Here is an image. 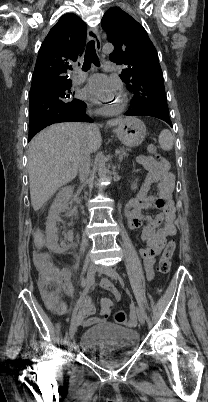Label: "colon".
Returning a JSON list of instances; mask_svg holds the SVG:
<instances>
[{
    "mask_svg": "<svg viewBox=\"0 0 208 402\" xmlns=\"http://www.w3.org/2000/svg\"><path fill=\"white\" fill-rule=\"evenodd\" d=\"M147 151L153 155L157 154V149L154 145H149ZM46 235L43 232L38 233L34 242L36 245H43ZM176 248L174 240H170L158 262V272L161 275H167L171 271V259ZM33 257L35 259V268L38 270V275L41 281L38 283V294L44 295L46 307L52 308L53 314H64L65 306L61 305L59 299L60 289L59 286L63 285V278L59 277L56 266L50 262L46 250H34ZM116 323L126 325L128 323L127 314L124 311H116L114 314Z\"/></svg>",
    "mask_w": 208,
    "mask_h": 402,
    "instance_id": "colon-1",
    "label": "colon"
}]
</instances>
